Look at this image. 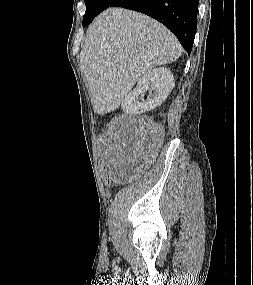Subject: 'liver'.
<instances>
[{
	"label": "liver",
	"instance_id": "liver-1",
	"mask_svg": "<svg viewBox=\"0 0 253 285\" xmlns=\"http://www.w3.org/2000/svg\"><path fill=\"white\" fill-rule=\"evenodd\" d=\"M181 53L176 37L151 17L123 8L102 12L89 26L80 53L94 112L116 110L150 69L176 61Z\"/></svg>",
	"mask_w": 253,
	"mask_h": 285
}]
</instances>
